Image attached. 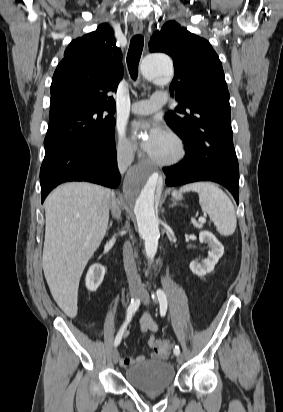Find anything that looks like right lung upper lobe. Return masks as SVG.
<instances>
[{
  "instance_id": "obj_1",
  "label": "right lung upper lobe",
  "mask_w": 283,
  "mask_h": 412,
  "mask_svg": "<svg viewBox=\"0 0 283 412\" xmlns=\"http://www.w3.org/2000/svg\"><path fill=\"white\" fill-rule=\"evenodd\" d=\"M107 24L73 40L66 48L51 84L50 114H64L72 105L97 106L115 112L111 92L123 76L122 53L113 46Z\"/></svg>"
}]
</instances>
